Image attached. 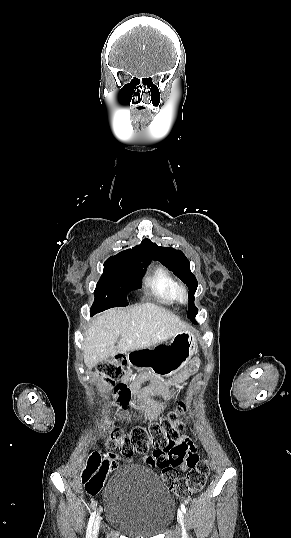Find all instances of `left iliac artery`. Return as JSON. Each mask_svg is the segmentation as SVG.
Returning a JSON list of instances; mask_svg holds the SVG:
<instances>
[{"label":"left iliac artery","instance_id":"left-iliac-artery-1","mask_svg":"<svg viewBox=\"0 0 291 538\" xmlns=\"http://www.w3.org/2000/svg\"><path fill=\"white\" fill-rule=\"evenodd\" d=\"M181 510L183 511L184 514H186V508L184 504H181Z\"/></svg>","mask_w":291,"mask_h":538}]
</instances>
